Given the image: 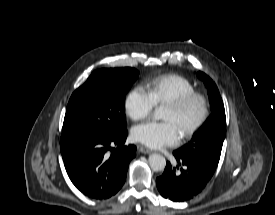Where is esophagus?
Listing matches in <instances>:
<instances>
[{
  "mask_svg": "<svg viewBox=\"0 0 275 215\" xmlns=\"http://www.w3.org/2000/svg\"><path fill=\"white\" fill-rule=\"evenodd\" d=\"M137 148H138L139 152H141V153H144V154H149V153H151V150L148 149V148L145 147V146L138 145Z\"/></svg>",
  "mask_w": 275,
  "mask_h": 215,
  "instance_id": "1",
  "label": "esophagus"
}]
</instances>
